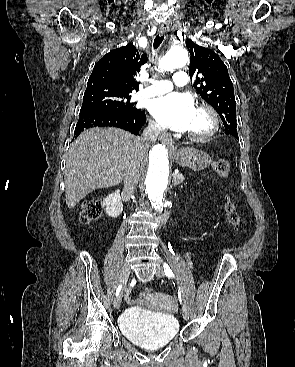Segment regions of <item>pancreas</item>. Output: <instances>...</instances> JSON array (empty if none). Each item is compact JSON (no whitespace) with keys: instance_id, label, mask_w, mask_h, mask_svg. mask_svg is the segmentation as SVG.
Masks as SVG:
<instances>
[{"instance_id":"obj_1","label":"pancreas","mask_w":295,"mask_h":367,"mask_svg":"<svg viewBox=\"0 0 295 367\" xmlns=\"http://www.w3.org/2000/svg\"><path fill=\"white\" fill-rule=\"evenodd\" d=\"M184 180V176L181 173L178 174H174L173 175V184L174 185H179L180 183H182Z\"/></svg>"}]
</instances>
